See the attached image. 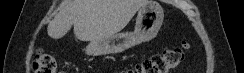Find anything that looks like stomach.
<instances>
[{
  "label": "stomach",
  "instance_id": "0dacf381",
  "mask_svg": "<svg viewBox=\"0 0 244 73\" xmlns=\"http://www.w3.org/2000/svg\"><path fill=\"white\" fill-rule=\"evenodd\" d=\"M163 20L161 5L155 0H149L138 11L134 32L118 33L100 41H91L86 47V53L94 56L117 54L148 42L157 35Z\"/></svg>",
  "mask_w": 244,
  "mask_h": 73
}]
</instances>
